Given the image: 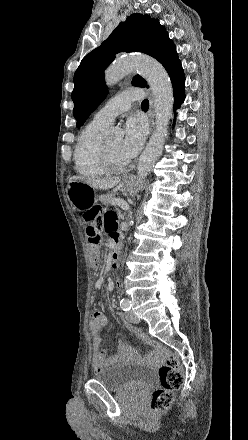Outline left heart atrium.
I'll list each match as a JSON object with an SVG mask.
<instances>
[{"mask_svg":"<svg viewBox=\"0 0 248 440\" xmlns=\"http://www.w3.org/2000/svg\"><path fill=\"white\" fill-rule=\"evenodd\" d=\"M146 136V128L143 122L130 118L124 127V137L120 143V154L129 162L141 150Z\"/></svg>","mask_w":248,"mask_h":440,"instance_id":"obj_1","label":"left heart atrium"}]
</instances>
